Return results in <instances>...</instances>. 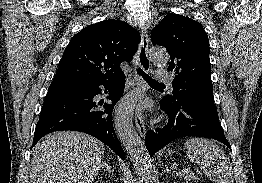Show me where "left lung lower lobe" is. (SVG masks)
<instances>
[{
  "mask_svg": "<svg viewBox=\"0 0 262 183\" xmlns=\"http://www.w3.org/2000/svg\"><path fill=\"white\" fill-rule=\"evenodd\" d=\"M160 105L169 121L163 128L147 131L145 145L151 157L171 141L185 136L213 138L231 149L219 123L214 103L180 101L170 104L161 100Z\"/></svg>",
  "mask_w": 262,
  "mask_h": 183,
  "instance_id": "left-lung-lower-lobe-1",
  "label": "left lung lower lobe"
}]
</instances>
